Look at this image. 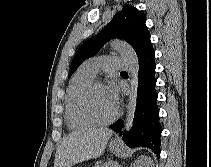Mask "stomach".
<instances>
[{"instance_id":"stomach-1","label":"stomach","mask_w":211,"mask_h":167,"mask_svg":"<svg viewBox=\"0 0 211 167\" xmlns=\"http://www.w3.org/2000/svg\"><path fill=\"white\" fill-rule=\"evenodd\" d=\"M109 149L116 156H125L127 153L123 144L119 140H112L109 143Z\"/></svg>"}]
</instances>
